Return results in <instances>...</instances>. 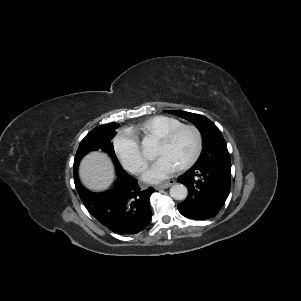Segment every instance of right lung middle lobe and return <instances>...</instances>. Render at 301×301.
Returning <instances> with one entry per match:
<instances>
[{
	"instance_id": "1",
	"label": "right lung middle lobe",
	"mask_w": 301,
	"mask_h": 301,
	"mask_svg": "<svg viewBox=\"0 0 301 301\" xmlns=\"http://www.w3.org/2000/svg\"><path fill=\"white\" fill-rule=\"evenodd\" d=\"M119 125L117 123H110L106 125H101L94 128L91 132H89L79 144V148L75 155L74 160V171H77L80 159L86 155L88 152L101 149L102 151L107 152L116 166H120L117 157L114 153V148L111 140L115 136Z\"/></svg>"
}]
</instances>
